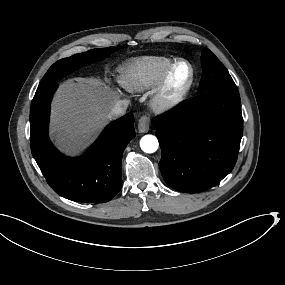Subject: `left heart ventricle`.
<instances>
[{
  "label": "left heart ventricle",
  "instance_id": "b2bd125f",
  "mask_svg": "<svg viewBox=\"0 0 285 285\" xmlns=\"http://www.w3.org/2000/svg\"><path fill=\"white\" fill-rule=\"evenodd\" d=\"M176 87H177V83L175 82L173 85H172V88L170 90V93H173L175 90H176Z\"/></svg>",
  "mask_w": 285,
  "mask_h": 285
}]
</instances>
